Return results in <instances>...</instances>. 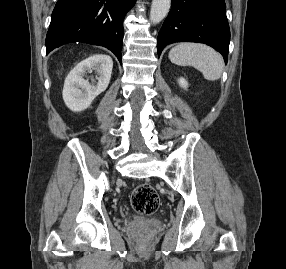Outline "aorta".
<instances>
[{
    "mask_svg": "<svg viewBox=\"0 0 286 269\" xmlns=\"http://www.w3.org/2000/svg\"><path fill=\"white\" fill-rule=\"evenodd\" d=\"M171 0H153L150 10V21L153 24L161 22L168 14Z\"/></svg>",
    "mask_w": 286,
    "mask_h": 269,
    "instance_id": "obj_1",
    "label": "aorta"
}]
</instances>
